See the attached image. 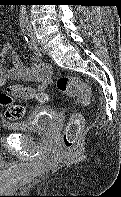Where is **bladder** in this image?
<instances>
[{"instance_id":"31cf9c89","label":"bladder","mask_w":121,"mask_h":197,"mask_svg":"<svg viewBox=\"0 0 121 197\" xmlns=\"http://www.w3.org/2000/svg\"><path fill=\"white\" fill-rule=\"evenodd\" d=\"M56 118V113L48 107H39L36 112L21 121L7 125V128L20 133H40L50 128Z\"/></svg>"}]
</instances>
